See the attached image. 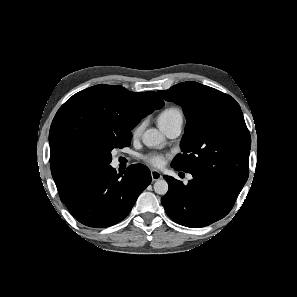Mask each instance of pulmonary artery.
Masks as SVG:
<instances>
[{
    "instance_id": "e3ab8cb5",
    "label": "pulmonary artery",
    "mask_w": 297,
    "mask_h": 297,
    "mask_svg": "<svg viewBox=\"0 0 297 297\" xmlns=\"http://www.w3.org/2000/svg\"><path fill=\"white\" fill-rule=\"evenodd\" d=\"M182 125H183V120H179L164 127L163 131L168 137L175 138L178 135H180L182 130Z\"/></svg>"
}]
</instances>
